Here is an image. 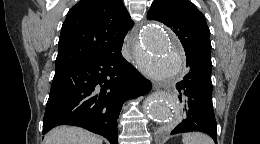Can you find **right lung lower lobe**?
I'll return each instance as SVG.
<instances>
[{
	"label": "right lung lower lobe",
	"mask_w": 260,
	"mask_h": 144,
	"mask_svg": "<svg viewBox=\"0 0 260 144\" xmlns=\"http://www.w3.org/2000/svg\"><path fill=\"white\" fill-rule=\"evenodd\" d=\"M151 82L121 51L56 68L43 119V134L75 125L118 144L117 119L123 103L148 93Z\"/></svg>",
	"instance_id": "98d812e1"
}]
</instances>
